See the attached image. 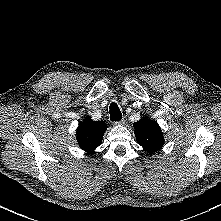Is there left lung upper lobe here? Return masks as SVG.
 <instances>
[{"mask_svg":"<svg viewBox=\"0 0 221 221\" xmlns=\"http://www.w3.org/2000/svg\"><path fill=\"white\" fill-rule=\"evenodd\" d=\"M134 133L139 145L148 153H153L162 148L164 137L158 123L143 117L134 123Z\"/></svg>","mask_w":221,"mask_h":221,"instance_id":"1","label":"left lung upper lobe"}]
</instances>
